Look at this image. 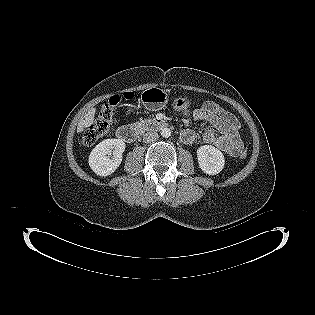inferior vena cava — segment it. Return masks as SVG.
Here are the masks:
<instances>
[{
  "label": "inferior vena cava",
  "mask_w": 315,
  "mask_h": 315,
  "mask_svg": "<svg viewBox=\"0 0 315 315\" xmlns=\"http://www.w3.org/2000/svg\"><path fill=\"white\" fill-rule=\"evenodd\" d=\"M159 138L158 133L156 132H148L143 136V142L151 143L156 141Z\"/></svg>",
  "instance_id": "inferior-vena-cava-1"
}]
</instances>
